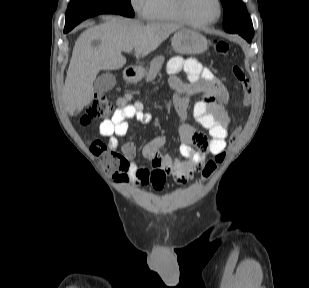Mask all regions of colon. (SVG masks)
I'll use <instances>...</instances> for the list:
<instances>
[{
  "label": "colon",
  "instance_id": "5ec220e1",
  "mask_svg": "<svg viewBox=\"0 0 309 288\" xmlns=\"http://www.w3.org/2000/svg\"><path fill=\"white\" fill-rule=\"evenodd\" d=\"M216 51L223 56L229 53L230 45L227 41L217 40L214 42ZM232 74L234 78L240 83L242 87V104L247 106L252 97V83L247 76L244 68L240 64L232 65ZM115 106L111 99L104 93L97 94L93 102L88 106L85 113L81 117V124L87 125L92 120L105 119L113 115ZM238 140V130L235 129L229 136V146L236 144ZM90 149L93 154L98 156L104 164L105 169L115 175V179L119 183H127L129 180L128 172L126 170L127 162L123 156L118 153L110 151L106 144L94 139L90 141ZM226 158V151H221L215 155L213 159L208 160L202 168L204 177H209Z\"/></svg>",
  "mask_w": 309,
  "mask_h": 288
}]
</instances>
